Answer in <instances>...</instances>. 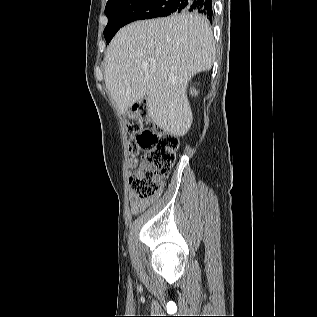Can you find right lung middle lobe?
I'll return each mask as SVG.
<instances>
[{
	"mask_svg": "<svg viewBox=\"0 0 317 317\" xmlns=\"http://www.w3.org/2000/svg\"><path fill=\"white\" fill-rule=\"evenodd\" d=\"M175 0H109L105 14L108 24L104 29L106 42L124 25L140 20L168 16L176 12ZM179 13V12H178ZM183 13H187L184 11Z\"/></svg>",
	"mask_w": 317,
	"mask_h": 317,
	"instance_id": "dd1d6c3e",
	"label": "right lung middle lobe"
}]
</instances>
